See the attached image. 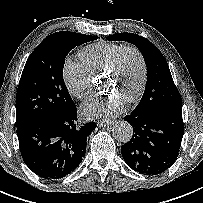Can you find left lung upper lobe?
<instances>
[{
    "mask_svg": "<svg viewBox=\"0 0 203 203\" xmlns=\"http://www.w3.org/2000/svg\"><path fill=\"white\" fill-rule=\"evenodd\" d=\"M110 41H127L142 53L147 66V83L141 101L134 111L155 114L169 110H182V100L172 79L167 61L148 39L134 33H117L107 37Z\"/></svg>",
    "mask_w": 203,
    "mask_h": 203,
    "instance_id": "obj_1",
    "label": "left lung upper lobe"
}]
</instances>
